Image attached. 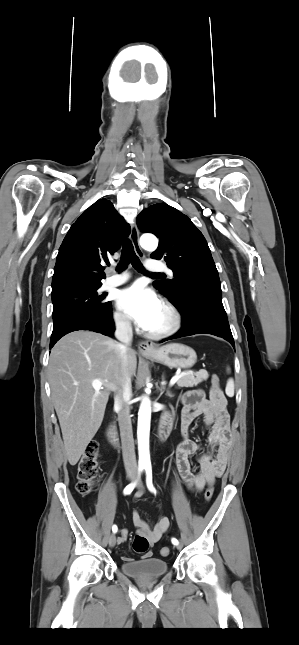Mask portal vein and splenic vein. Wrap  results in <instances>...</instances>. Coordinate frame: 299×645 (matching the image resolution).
<instances>
[{
    "label": "portal vein and splenic vein",
    "mask_w": 299,
    "mask_h": 645,
    "mask_svg": "<svg viewBox=\"0 0 299 645\" xmlns=\"http://www.w3.org/2000/svg\"><path fill=\"white\" fill-rule=\"evenodd\" d=\"M185 374L187 373L175 375L174 377H172V379L170 380V386L174 385L181 378V376ZM103 384H104L103 381L100 379H95L92 381V386L94 389H100L103 386Z\"/></svg>",
    "instance_id": "obj_1"
}]
</instances>
